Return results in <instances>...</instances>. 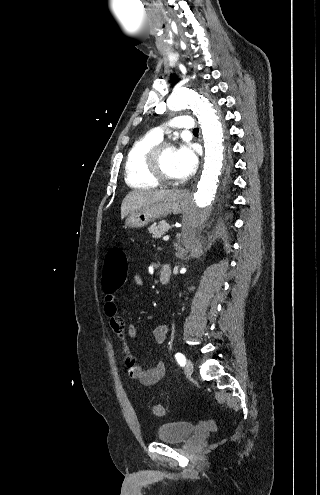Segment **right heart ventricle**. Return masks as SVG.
I'll list each match as a JSON object with an SVG mask.
<instances>
[{"label":"right heart ventricle","instance_id":"1","mask_svg":"<svg viewBox=\"0 0 320 495\" xmlns=\"http://www.w3.org/2000/svg\"><path fill=\"white\" fill-rule=\"evenodd\" d=\"M160 140L148 133L136 140L127 152L124 164L125 181L132 188L151 189L159 182L148 172L146 154Z\"/></svg>","mask_w":320,"mask_h":495}]
</instances>
